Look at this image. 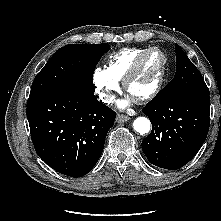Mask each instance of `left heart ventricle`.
Instances as JSON below:
<instances>
[{
    "instance_id": "b2bd125f",
    "label": "left heart ventricle",
    "mask_w": 221,
    "mask_h": 221,
    "mask_svg": "<svg viewBox=\"0 0 221 221\" xmlns=\"http://www.w3.org/2000/svg\"><path fill=\"white\" fill-rule=\"evenodd\" d=\"M162 66V57L159 52H151L145 59L141 70L131 81L128 93L132 98L142 96L155 85Z\"/></svg>"
}]
</instances>
